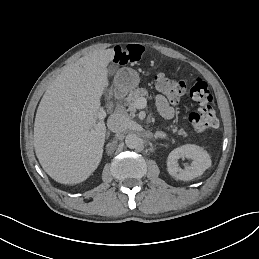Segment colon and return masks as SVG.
Wrapping results in <instances>:
<instances>
[{"instance_id":"obj_1","label":"colon","mask_w":259,"mask_h":259,"mask_svg":"<svg viewBox=\"0 0 259 259\" xmlns=\"http://www.w3.org/2000/svg\"><path fill=\"white\" fill-rule=\"evenodd\" d=\"M155 81L158 90L163 92L173 103H177L186 92L189 93L198 105V109L189 115V121L196 132L201 133L218 126L213 97L203 78L196 77L189 84H186L184 81L159 73L155 77Z\"/></svg>"}]
</instances>
